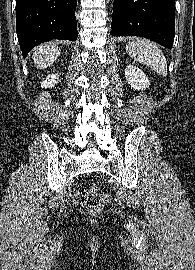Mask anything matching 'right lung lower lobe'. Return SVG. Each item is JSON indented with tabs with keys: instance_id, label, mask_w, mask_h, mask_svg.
Masks as SVG:
<instances>
[{
	"instance_id": "obj_1",
	"label": "right lung lower lobe",
	"mask_w": 195,
	"mask_h": 270,
	"mask_svg": "<svg viewBox=\"0 0 195 270\" xmlns=\"http://www.w3.org/2000/svg\"><path fill=\"white\" fill-rule=\"evenodd\" d=\"M76 4L77 0H16V32L23 56L49 40L75 41Z\"/></svg>"
}]
</instances>
